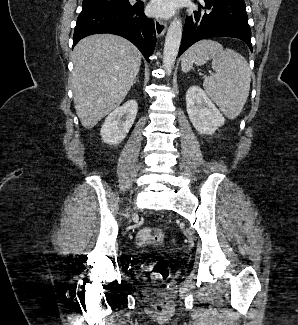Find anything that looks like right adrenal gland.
<instances>
[{
  "label": "right adrenal gland",
  "instance_id": "1",
  "mask_svg": "<svg viewBox=\"0 0 298 325\" xmlns=\"http://www.w3.org/2000/svg\"><path fill=\"white\" fill-rule=\"evenodd\" d=\"M139 76H136V78H134L133 82H132V86L134 84V82H136V80H138Z\"/></svg>",
  "mask_w": 298,
  "mask_h": 325
}]
</instances>
